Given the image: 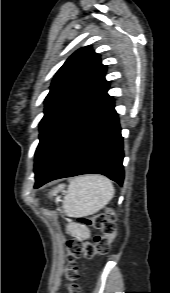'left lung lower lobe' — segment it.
<instances>
[{
    "instance_id": "left-lung-lower-lobe-1",
    "label": "left lung lower lobe",
    "mask_w": 170,
    "mask_h": 293,
    "mask_svg": "<svg viewBox=\"0 0 170 293\" xmlns=\"http://www.w3.org/2000/svg\"><path fill=\"white\" fill-rule=\"evenodd\" d=\"M123 138L114 101H107L81 126L50 166L35 176L34 188L54 179L103 174L123 184Z\"/></svg>"
}]
</instances>
